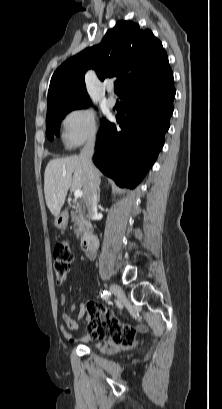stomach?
<instances>
[{
	"mask_svg": "<svg viewBox=\"0 0 222 409\" xmlns=\"http://www.w3.org/2000/svg\"><path fill=\"white\" fill-rule=\"evenodd\" d=\"M68 224V213L67 211L61 212L58 216L55 217L54 225L56 228L62 229Z\"/></svg>",
	"mask_w": 222,
	"mask_h": 409,
	"instance_id": "stomach-1",
	"label": "stomach"
}]
</instances>
